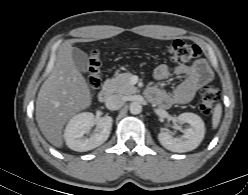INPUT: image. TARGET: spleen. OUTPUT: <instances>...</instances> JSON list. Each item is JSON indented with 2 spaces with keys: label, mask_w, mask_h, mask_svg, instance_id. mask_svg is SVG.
I'll list each match as a JSON object with an SVG mask.
<instances>
[{
  "label": "spleen",
  "mask_w": 248,
  "mask_h": 195,
  "mask_svg": "<svg viewBox=\"0 0 248 195\" xmlns=\"http://www.w3.org/2000/svg\"><path fill=\"white\" fill-rule=\"evenodd\" d=\"M221 115H222V106L220 103L216 104L215 108H214V112H213V116H212V127L213 129H216L220 123V119H221Z\"/></svg>",
  "instance_id": "1"
}]
</instances>
